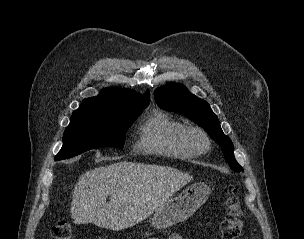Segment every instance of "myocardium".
Listing matches in <instances>:
<instances>
[{
    "label": "myocardium",
    "mask_w": 304,
    "mask_h": 239,
    "mask_svg": "<svg viewBox=\"0 0 304 239\" xmlns=\"http://www.w3.org/2000/svg\"><path fill=\"white\" fill-rule=\"evenodd\" d=\"M195 136H199L202 139V145H197L194 142L193 138ZM178 138L180 144L194 156L205 154L211 148V139L208 133L196 125L184 126L179 132Z\"/></svg>",
    "instance_id": "obj_1"
}]
</instances>
